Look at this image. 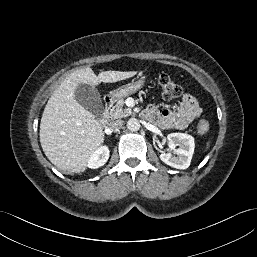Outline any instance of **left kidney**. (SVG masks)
Returning a JSON list of instances; mask_svg holds the SVG:
<instances>
[{
  "mask_svg": "<svg viewBox=\"0 0 257 257\" xmlns=\"http://www.w3.org/2000/svg\"><path fill=\"white\" fill-rule=\"evenodd\" d=\"M167 140L170 145L179 146L174 150V154L177 156H172L171 153H162L161 161L173 168L187 169L194 153V138L184 133H171L167 136Z\"/></svg>",
  "mask_w": 257,
  "mask_h": 257,
  "instance_id": "left-kidney-1",
  "label": "left kidney"
}]
</instances>
